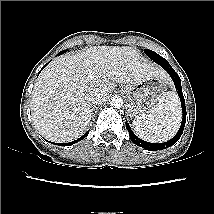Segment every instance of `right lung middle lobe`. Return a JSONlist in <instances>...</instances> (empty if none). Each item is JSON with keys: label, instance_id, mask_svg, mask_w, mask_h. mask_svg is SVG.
<instances>
[{"label": "right lung middle lobe", "instance_id": "dd1d6c3e", "mask_svg": "<svg viewBox=\"0 0 214 214\" xmlns=\"http://www.w3.org/2000/svg\"><path fill=\"white\" fill-rule=\"evenodd\" d=\"M65 52H66V50H64V51L60 52L59 54H62V53H65Z\"/></svg>", "mask_w": 214, "mask_h": 214}]
</instances>
